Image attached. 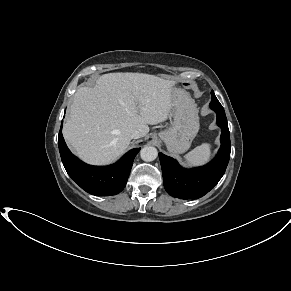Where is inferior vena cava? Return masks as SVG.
<instances>
[{
	"label": "inferior vena cava",
	"mask_w": 291,
	"mask_h": 291,
	"mask_svg": "<svg viewBox=\"0 0 291 291\" xmlns=\"http://www.w3.org/2000/svg\"><path fill=\"white\" fill-rule=\"evenodd\" d=\"M130 137H131L132 139H138V138L143 137V134H142L141 131H139V130H134V131H132Z\"/></svg>",
	"instance_id": "602c4592"
}]
</instances>
